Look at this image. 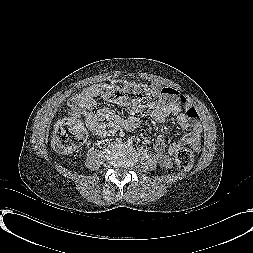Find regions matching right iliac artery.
<instances>
[{"label":"right iliac artery","mask_w":253,"mask_h":253,"mask_svg":"<svg viewBox=\"0 0 253 253\" xmlns=\"http://www.w3.org/2000/svg\"><path fill=\"white\" fill-rule=\"evenodd\" d=\"M116 140H117L118 142H120V139L117 138Z\"/></svg>","instance_id":"right-iliac-artery-1"}]
</instances>
